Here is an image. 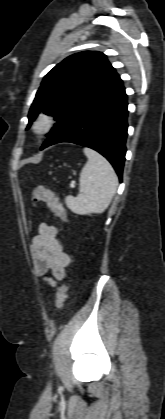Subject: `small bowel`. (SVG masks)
Here are the masks:
<instances>
[{"mask_svg": "<svg viewBox=\"0 0 165 419\" xmlns=\"http://www.w3.org/2000/svg\"><path fill=\"white\" fill-rule=\"evenodd\" d=\"M30 252L36 274L45 276L51 273V277H45L49 285L55 286L65 278L71 259L64 250L56 226L41 223L38 234L31 241Z\"/></svg>", "mask_w": 165, "mask_h": 419, "instance_id": "1", "label": "small bowel"}]
</instances>
